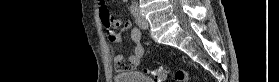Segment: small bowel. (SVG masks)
Returning a JSON list of instances; mask_svg holds the SVG:
<instances>
[{"instance_id": "1", "label": "small bowel", "mask_w": 279, "mask_h": 82, "mask_svg": "<svg viewBox=\"0 0 279 82\" xmlns=\"http://www.w3.org/2000/svg\"><path fill=\"white\" fill-rule=\"evenodd\" d=\"M100 4H104V1H101ZM131 27L132 23L129 20L125 22L116 20L114 21L113 28L110 30L107 29L106 36L109 40L117 42L120 40V33L117 31V29L121 28L122 30H128L131 29ZM130 36L134 44V49L129 59L125 60L124 56L120 53L114 56V63L118 73L132 71L137 68L140 65L144 55V47L142 45L140 30L137 28H132L130 31Z\"/></svg>"}]
</instances>
